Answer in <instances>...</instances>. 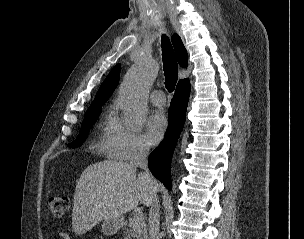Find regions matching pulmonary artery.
<instances>
[{
    "instance_id": "pulmonary-artery-1",
    "label": "pulmonary artery",
    "mask_w": 304,
    "mask_h": 239,
    "mask_svg": "<svg viewBox=\"0 0 304 239\" xmlns=\"http://www.w3.org/2000/svg\"><path fill=\"white\" fill-rule=\"evenodd\" d=\"M150 101L155 106H163L166 103V98L161 90H155L150 95Z\"/></svg>"
}]
</instances>
